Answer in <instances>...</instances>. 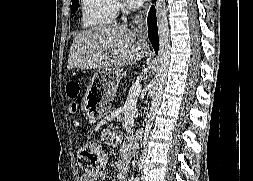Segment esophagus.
<instances>
[{
  "label": "esophagus",
  "instance_id": "esophagus-1",
  "mask_svg": "<svg viewBox=\"0 0 253 181\" xmlns=\"http://www.w3.org/2000/svg\"><path fill=\"white\" fill-rule=\"evenodd\" d=\"M152 4V0H146L143 10L136 18L137 23V36L140 39L147 38V15Z\"/></svg>",
  "mask_w": 253,
  "mask_h": 181
}]
</instances>
